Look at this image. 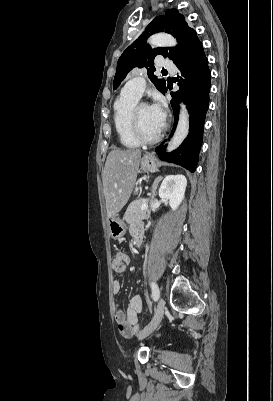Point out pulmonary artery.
Segmentation results:
<instances>
[{
	"label": "pulmonary artery",
	"instance_id": "1",
	"mask_svg": "<svg viewBox=\"0 0 273 401\" xmlns=\"http://www.w3.org/2000/svg\"><path fill=\"white\" fill-rule=\"evenodd\" d=\"M159 69L162 72H177L179 66L177 63H173V59L171 57H165L163 58ZM145 87L146 82L144 81V77L136 74L134 75L133 80L128 81L127 85L123 86L122 91L124 94H130L139 99L143 95Z\"/></svg>",
	"mask_w": 273,
	"mask_h": 401
}]
</instances>
